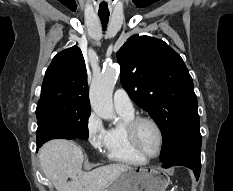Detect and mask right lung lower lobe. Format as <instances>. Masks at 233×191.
Here are the masks:
<instances>
[{
	"label": "right lung lower lobe",
	"instance_id": "right-lung-lower-lobe-1",
	"mask_svg": "<svg viewBox=\"0 0 233 191\" xmlns=\"http://www.w3.org/2000/svg\"><path fill=\"white\" fill-rule=\"evenodd\" d=\"M41 145H42L41 143H37V149H38Z\"/></svg>",
	"mask_w": 233,
	"mask_h": 191
}]
</instances>
